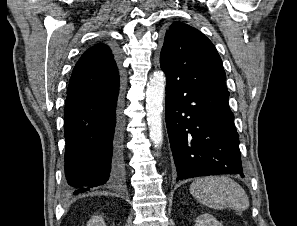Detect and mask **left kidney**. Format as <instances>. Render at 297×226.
<instances>
[{"label": "left kidney", "instance_id": "left-kidney-1", "mask_svg": "<svg viewBox=\"0 0 297 226\" xmlns=\"http://www.w3.org/2000/svg\"><path fill=\"white\" fill-rule=\"evenodd\" d=\"M195 226H223L215 217L208 213L199 215L196 219Z\"/></svg>", "mask_w": 297, "mask_h": 226}]
</instances>
